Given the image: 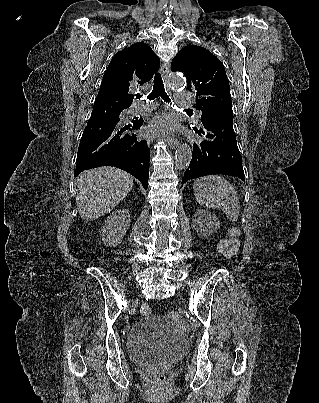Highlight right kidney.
<instances>
[{
  "mask_svg": "<svg viewBox=\"0 0 319 403\" xmlns=\"http://www.w3.org/2000/svg\"><path fill=\"white\" fill-rule=\"evenodd\" d=\"M130 221L127 209H117L112 212L101 229L103 243L108 247L119 245L130 226Z\"/></svg>",
  "mask_w": 319,
  "mask_h": 403,
  "instance_id": "right-kidney-1",
  "label": "right kidney"
}]
</instances>
